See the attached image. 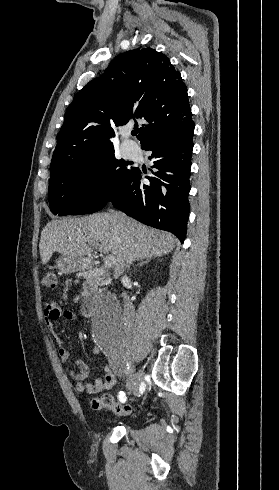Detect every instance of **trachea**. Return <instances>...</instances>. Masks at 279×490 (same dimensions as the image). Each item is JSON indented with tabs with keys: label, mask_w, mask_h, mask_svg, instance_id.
<instances>
[{
	"label": "trachea",
	"mask_w": 279,
	"mask_h": 490,
	"mask_svg": "<svg viewBox=\"0 0 279 490\" xmlns=\"http://www.w3.org/2000/svg\"><path fill=\"white\" fill-rule=\"evenodd\" d=\"M139 133V130H133L132 135H137Z\"/></svg>",
	"instance_id": "trachea-1"
}]
</instances>
